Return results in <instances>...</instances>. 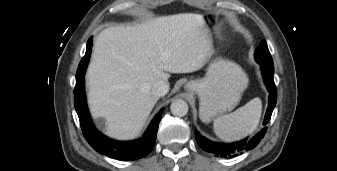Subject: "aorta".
I'll return each mask as SVG.
<instances>
[{"mask_svg": "<svg viewBox=\"0 0 337 171\" xmlns=\"http://www.w3.org/2000/svg\"><path fill=\"white\" fill-rule=\"evenodd\" d=\"M171 113L178 117H183L188 113V104L182 99H176L171 103Z\"/></svg>", "mask_w": 337, "mask_h": 171, "instance_id": "aorta-1", "label": "aorta"}]
</instances>
